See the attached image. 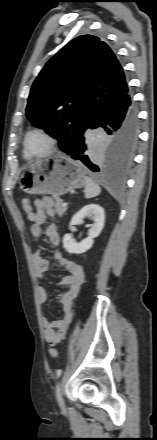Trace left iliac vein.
Segmentation results:
<instances>
[{
	"mask_svg": "<svg viewBox=\"0 0 157 440\" xmlns=\"http://www.w3.org/2000/svg\"><path fill=\"white\" fill-rule=\"evenodd\" d=\"M56 398H57V402H58L60 408H64L65 407V403H64V399H63V395H62V384H61V382H59L57 384V387H56Z\"/></svg>",
	"mask_w": 157,
	"mask_h": 440,
	"instance_id": "obj_1",
	"label": "left iliac vein"
}]
</instances>
